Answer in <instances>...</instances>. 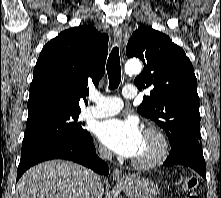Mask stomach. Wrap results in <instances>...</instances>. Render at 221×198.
<instances>
[{"instance_id":"obj_1","label":"stomach","mask_w":221,"mask_h":198,"mask_svg":"<svg viewBox=\"0 0 221 198\" xmlns=\"http://www.w3.org/2000/svg\"><path fill=\"white\" fill-rule=\"evenodd\" d=\"M117 186L129 198H156L159 193L158 186L144 177L131 176L124 182L118 183Z\"/></svg>"}]
</instances>
